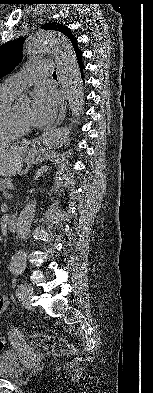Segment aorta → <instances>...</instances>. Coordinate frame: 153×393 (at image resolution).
I'll return each instance as SVG.
<instances>
[{
  "label": "aorta",
  "mask_w": 153,
  "mask_h": 393,
  "mask_svg": "<svg viewBox=\"0 0 153 393\" xmlns=\"http://www.w3.org/2000/svg\"><path fill=\"white\" fill-rule=\"evenodd\" d=\"M25 54L29 58H39L51 54L56 62L58 80L65 92L69 107L76 117L84 110V90L80 68L71 42L62 34L41 30L30 36L25 43ZM78 120V119H77ZM70 128H55L47 131L43 144L57 147L65 143L69 137ZM37 201L31 200L21 211L16 225L19 238H26L30 232L35 217ZM26 254L18 250L12 257L11 270L20 272L25 267Z\"/></svg>",
  "instance_id": "obj_1"
}]
</instances>
